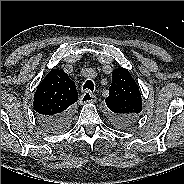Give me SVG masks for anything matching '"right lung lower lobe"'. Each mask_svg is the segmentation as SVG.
I'll use <instances>...</instances> for the list:
<instances>
[{"instance_id":"1","label":"right lung lower lobe","mask_w":184,"mask_h":184,"mask_svg":"<svg viewBox=\"0 0 184 184\" xmlns=\"http://www.w3.org/2000/svg\"><path fill=\"white\" fill-rule=\"evenodd\" d=\"M39 121L47 131L56 133L55 131L62 129L71 121V111L69 109L67 112L53 117H39Z\"/></svg>"}]
</instances>
